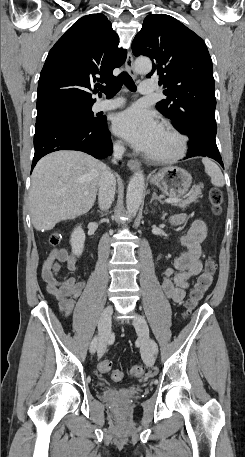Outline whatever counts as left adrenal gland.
I'll list each match as a JSON object with an SVG mask.
<instances>
[{
    "mask_svg": "<svg viewBox=\"0 0 245 457\" xmlns=\"http://www.w3.org/2000/svg\"><path fill=\"white\" fill-rule=\"evenodd\" d=\"M154 198H157V200H159V202H163V200H161V198H159V196H157V192H153L150 202H152V200H154Z\"/></svg>",
    "mask_w": 245,
    "mask_h": 457,
    "instance_id": "obj_1",
    "label": "left adrenal gland"
}]
</instances>
